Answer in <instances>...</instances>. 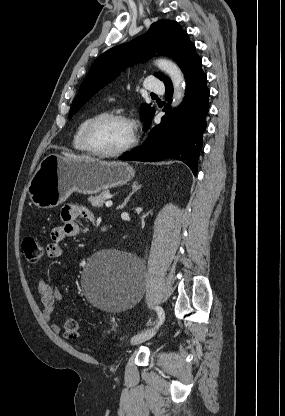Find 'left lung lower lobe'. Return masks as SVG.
Masks as SVG:
<instances>
[{"mask_svg":"<svg viewBox=\"0 0 285 416\" xmlns=\"http://www.w3.org/2000/svg\"><path fill=\"white\" fill-rule=\"evenodd\" d=\"M202 60L196 57L183 69L186 79L184 101L162 117L161 123L150 130L148 138L141 145L120 156L121 160L162 161L176 159L187 164L194 175L197 173V158L202 148V135L206 129V115L209 110V89ZM165 99L171 101L173 86L165 83ZM168 107V106H167ZM152 119L146 124L149 129Z\"/></svg>","mask_w":285,"mask_h":416,"instance_id":"obj_1","label":"left lung lower lobe"}]
</instances>
